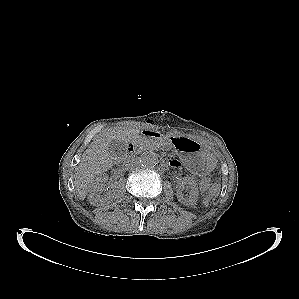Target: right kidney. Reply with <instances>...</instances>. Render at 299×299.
Masks as SVG:
<instances>
[{"instance_id": "1", "label": "right kidney", "mask_w": 299, "mask_h": 299, "mask_svg": "<svg viewBox=\"0 0 299 299\" xmlns=\"http://www.w3.org/2000/svg\"><path fill=\"white\" fill-rule=\"evenodd\" d=\"M107 182L108 176L103 173L98 175L90 183L88 187V200L93 206H99L106 201L111 202L113 200L114 184L108 186V188H111L108 191V188H106ZM104 191H106V197H102Z\"/></svg>"}]
</instances>
